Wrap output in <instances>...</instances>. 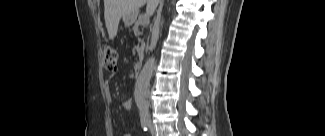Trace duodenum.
I'll use <instances>...</instances> for the list:
<instances>
[{
    "label": "duodenum",
    "instance_id": "duodenum-1",
    "mask_svg": "<svg viewBox=\"0 0 325 136\" xmlns=\"http://www.w3.org/2000/svg\"><path fill=\"white\" fill-rule=\"evenodd\" d=\"M143 68V62H137L134 66V73L135 75H139Z\"/></svg>",
    "mask_w": 325,
    "mask_h": 136
}]
</instances>
